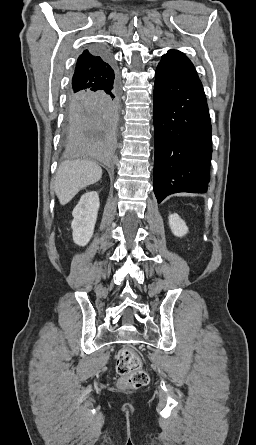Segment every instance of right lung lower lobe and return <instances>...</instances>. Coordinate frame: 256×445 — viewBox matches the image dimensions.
<instances>
[{
	"mask_svg": "<svg viewBox=\"0 0 256 445\" xmlns=\"http://www.w3.org/2000/svg\"><path fill=\"white\" fill-rule=\"evenodd\" d=\"M110 66L112 77L107 84L94 91L69 95L66 126L70 155L106 165L114 159L119 119V82Z\"/></svg>",
	"mask_w": 256,
	"mask_h": 445,
	"instance_id": "obj_1",
	"label": "right lung lower lobe"
}]
</instances>
